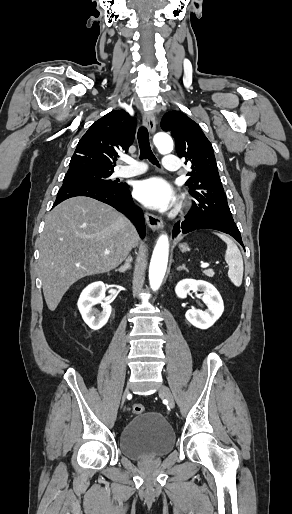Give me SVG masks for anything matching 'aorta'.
Wrapping results in <instances>:
<instances>
[{
  "label": "aorta",
  "instance_id": "obj_1",
  "mask_svg": "<svg viewBox=\"0 0 292 514\" xmlns=\"http://www.w3.org/2000/svg\"><path fill=\"white\" fill-rule=\"evenodd\" d=\"M154 144L160 154H170L173 150V140L168 134H156ZM169 254V242L167 236H160L150 262L149 282L152 290L156 292L162 284L165 276Z\"/></svg>",
  "mask_w": 292,
  "mask_h": 514
}]
</instances>
